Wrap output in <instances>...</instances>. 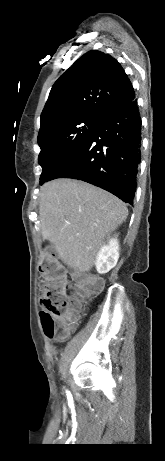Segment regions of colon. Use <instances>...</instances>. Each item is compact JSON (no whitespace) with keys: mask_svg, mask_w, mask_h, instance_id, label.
<instances>
[{"mask_svg":"<svg viewBox=\"0 0 165 461\" xmlns=\"http://www.w3.org/2000/svg\"><path fill=\"white\" fill-rule=\"evenodd\" d=\"M39 271L43 280L40 318L44 333L49 339L60 340L67 337L73 328V311L80 306L79 298H90L100 289V284L91 279L82 280L78 285L79 298H70L67 290L71 284L66 269L52 253L42 256ZM66 313L71 315L68 323L63 321Z\"/></svg>","mask_w":165,"mask_h":461,"instance_id":"colon-1","label":"colon"}]
</instances>
